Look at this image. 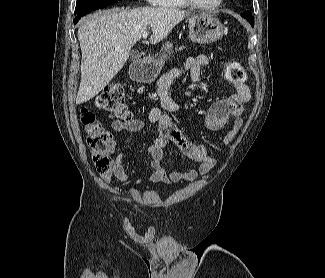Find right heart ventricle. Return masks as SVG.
Returning a JSON list of instances; mask_svg holds the SVG:
<instances>
[{"label": "right heart ventricle", "mask_w": 325, "mask_h": 278, "mask_svg": "<svg viewBox=\"0 0 325 278\" xmlns=\"http://www.w3.org/2000/svg\"><path fill=\"white\" fill-rule=\"evenodd\" d=\"M153 4L163 8L181 9L187 7L183 0H154Z\"/></svg>", "instance_id": "obj_1"}]
</instances>
